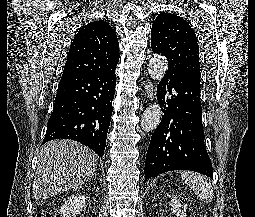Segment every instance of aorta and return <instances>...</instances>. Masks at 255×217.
I'll return each mask as SVG.
<instances>
[{
    "instance_id": "1",
    "label": "aorta",
    "mask_w": 255,
    "mask_h": 217,
    "mask_svg": "<svg viewBox=\"0 0 255 217\" xmlns=\"http://www.w3.org/2000/svg\"><path fill=\"white\" fill-rule=\"evenodd\" d=\"M168 62L164 56L157 55L151 58L149 62V75L153 80H161L165 75ZM161 108L158 103L151 104L141 117V128L145 132L154 130L161 120Z\"/></svg>"
}]
</instances>
